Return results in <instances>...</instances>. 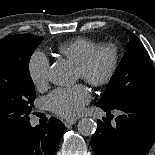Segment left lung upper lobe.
<instances>
[{"label": "left lung upper lobe", "mask_w": 155, "mask_h": 155, "mask_svg": "<svg viewBox=\"0 0 155 155\" xmlns=\"http://www.w3.org/2000/svg\"><path fill=\"white\" fill-rule=\"evenodd\" d=\"M126 31L127 52L98 104L111 107L139 92L155 91V70L148 52L133 33Z\"/></svg>", "instance_id": "left-lung-upper-lobe-1"}]
</instances>
